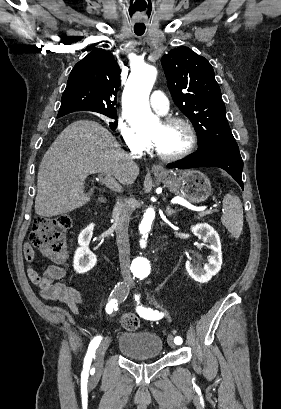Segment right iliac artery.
<instances>
[{"label":"right iliac artery","instance_id":"1","mask_svg":"<svg viewBox=\"0 0 281 409\" xmlns=\"http://www.w3.org/2000/svg\"><path fill=\"white\" fill-rule=\"evenodd\" d=\"M128 296V288L123 283H118L115 286V289L111 293V299L109 300L108 304L106 305V312L111 314L113 309H115L118 305V302H123L126 300ZM102 337L96 336L90 343L87 354L84 359V370L82 372V376L87 378L88 371L90 369L92 358L95 355V351L101 342Z\"/></svg>","mask_w":281,"mask_h":409}]
</instances>
